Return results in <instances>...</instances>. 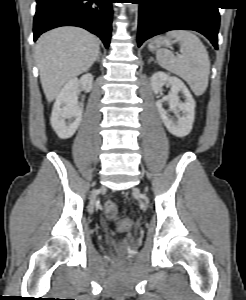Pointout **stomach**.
<instances>
[{
	"label": "stomach",
	"mask_w": 246,
	"mask_h": 300,
	"mask_svg": "<svg viewBox=\"0 0 246 300\" xmlns=\"http://www.w3.org/2000/svg\"><path fill=\"white\" fill-rule=\"evenodd\" d=\"M175 41L171 37H157L148 45L150 51H158L159 49L169 48Z\"/></svg>",
	"instance_id": "0dacf381"
}]
</instances>
